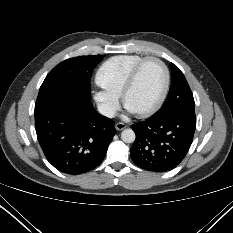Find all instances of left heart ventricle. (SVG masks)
Here are the masks:
<instances>
[{"mask_svg":"<svg viewBox=\"0 0 233 233\" xmlns=\"http://www.w3.org/2000/svg\"><path fill=\"white\" fill-rule=\"evenodd\" d=\"M164 86V73L155 61H148L141 68L133 89L126 98V106L135 113L146 110L158 100Z\"/></svg>","mask_w":233,"mask_h":233,"instance_id":"obj_1","label":"left heart ventricle"}]
</instances>
